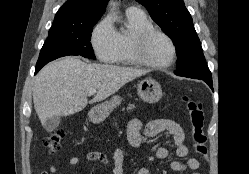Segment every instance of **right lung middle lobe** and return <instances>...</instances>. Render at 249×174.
Instances as JSON below:
<instances>
[{"mask_svg":"<svg viewBox=\"0 0 249 174\" xmlns=\"http://www.w3.org/2000/svg\"><path fill=\"white\" fill-rule=\"evenodd\" d=\"M96 23L97 21H91L77 27L49 30L36 67H43L52 60L69 55L95 59L90 40Z\"/></svg>","mask_w":249,"mask_h":174,"instance_id":"dd1d6c3e","label":"right lung middle lobe"}]
</instances>
